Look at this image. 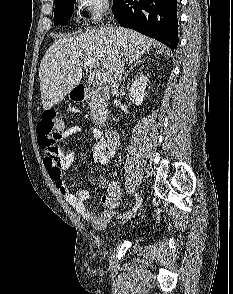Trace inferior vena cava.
Returning <instances> with one entry per match:
<instances>
[{"label":"inferior vena cava","mask_w":233,"mask_h":294,"mask_svg":"<svg viewBox=\"0 0 233 294\" xmlns=\"http://www.w3.org/2000/svg\"><path fill=\"white\" fill-rule=\"evenodd\" d=\"M123 72H124V61L119 60L114 69V79L111 86V91L113 96L118 93V86H119V82L121 81Z\"/></svg>","instance_id":"obj_1"}]
</instances>
